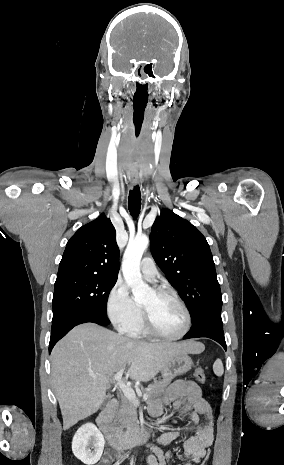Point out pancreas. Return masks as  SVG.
I'll use <instances>...</instances> for the list:
<instances>
[{
    "label": "pancreas",
    "instance_id": "cf45deb5",
    "mask_svg": "<svg viewBox=\"0 0 284 465\" xmlns=\"http://www.w3.org/2000/svg\"><path fill=\"white\" fill-rule=\"evenodd\" d=\"M172 379H174V375H164V379H161V381H155V383H152V385H149L147 389H142V393L144 395H149L148 401H153V399H156V397H159V395H162L164 393L167 385L171 383ZM122 401V407L115 415V421H118V431H123V429H127L126 433H130L134 427H138L136 421H137V411L135 405L133 403H130L128 399H121Z\"/></svg>",
    "mask_w": 284,
    "mask_h": 465
}]
</instances>
